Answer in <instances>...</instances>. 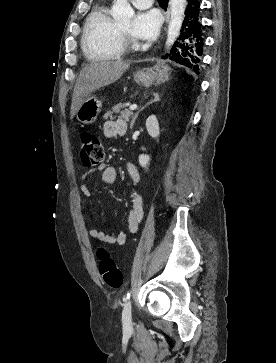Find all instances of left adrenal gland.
<instances>
[{"instance_id":"a2214340","label":"left adrenal gland","mask_w":276,"mask_h":363,"mask_svg":"<svg viewBox=\"0 0 276 363\" xmlns=\"http://www.w3.org/2000/svg\"><path fill=\"white\" fill-rule=\"evenodd\" d=\"M160 98H159V94L158 93H153V98L144 106L142 107L136 114L135 116L133 117L132 121H131V125H130V129L133 128V125H134V122L135 120L137 119L139 113L144 110L148 105L152 104L153 102H157L159 101Z\"/></svg>"}]
</instances>
